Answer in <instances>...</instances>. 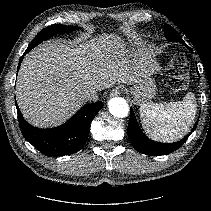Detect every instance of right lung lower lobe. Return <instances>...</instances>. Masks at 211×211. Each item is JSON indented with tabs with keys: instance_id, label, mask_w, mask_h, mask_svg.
<instances>
[{
	"instance_id": "right-lung-lower-lobe-1",
	"label": "right lung lower lobe",
	"mask_w": 211,
	"mask_h": 211,
	"mask_svg": "<svg viewBox=\"0 0 211 211\" xmlns=\"http://www.w3.org/2000/svg\"><path fill=\"white\" fill-rule=\"evenodd\" d=\"M27 52L29 51L26 50L24 55ZM102 107V102L86 105L65 124L51 129H39L24 120L16 104L19 126L23 136L48 157L64 156L81 150L88 138L90 123Z\"/></svg>"
}]
</instances>
